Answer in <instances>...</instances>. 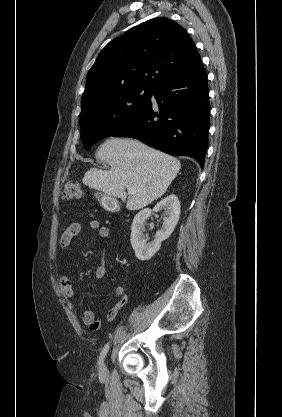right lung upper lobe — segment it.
Returning a JSON list of instances; mask_svg holds the SVG:
<instances>
[{
	"instance_id": "obj_1",
	"label": "right lung upper lobe",
	"mask_w": 282,
	"mask_h": 417,
	"mask_svg": "<svg viewBox=\"0 0 282 417\" xmlns=\"http://www.w3.org/2000/svg\"><path fill=\"white\" fill-rule=\"evenodd\" d=\"M199 64L200 55L184 28L167 18H154L106 45L87 74L82 101L134 87L156 90Z\"/></svg>"
}]
</instances>
